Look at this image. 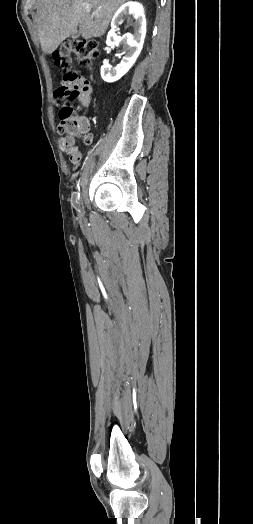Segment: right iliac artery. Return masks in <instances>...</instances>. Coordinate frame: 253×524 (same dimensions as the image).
I'll return each instance as SVG.
<instances>
[{
	"instance_id": "right-iliac-artery-1",
	"label": "right iliac artery",
	"mask_w": 253,
	"mask_h": 524,
	"mask_svg": "<svg viewBox=\"0 0 253 524\" xmlns=\"http://www.w3.org/2000/svg\"><path fill=\"white\" fill-rule=\"evenodd\" d=\"M73 206L78 212H81L80 189L79 191L75 192V195L73 198Z\"/></svg>"
}]
</instances>
